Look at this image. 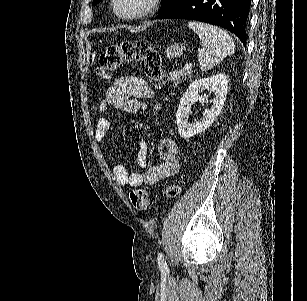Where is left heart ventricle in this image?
<instances>
[{
  "label": "left heart ventricle",
  "mask_w": 307,
  "mask_h": 301,
  "mask_svg": "<svg viewBox=\"0 0 307 301\" xmlns=\"http://www.w3.org/2000/svg\"><path fill=\"white\" fill-rule=\"evenodd\" d=\"M143 0H128V2L132 3V6L129 8L130 10H137L142 3Z\"/></svg>",
  "instance_id": "obj_1"
}]
</instances>
